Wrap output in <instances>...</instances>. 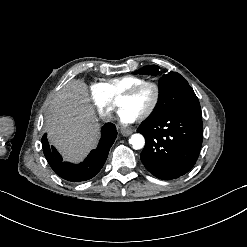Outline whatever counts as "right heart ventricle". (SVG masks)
<instances>
[{
	"instance_id": "1",
	"label": "right heart ventricle",
	"mask_w": 247,
	"mask_h": 247,
	"mask_svg": "<svg viewBox=\"0 0 247 247\" xmlns=\"http://www.w3.org/2000/svg\"><path fill=\"white\" fill-rule=\"evenodd\" d=\"M142 82L143 80L140 78L125 76L110 81L107 85V89L112 95H122L129 92Z\"/></svg>"
}]
</instances>
